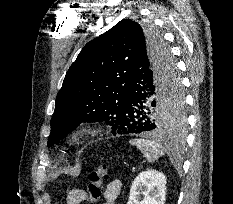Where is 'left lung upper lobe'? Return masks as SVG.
I'll return each mask as SVG.
<instances>
[{
  "mask_svg": "<svg viewBox=\"0 0 233 204\" xmlns=\"http://www.w3.org/2000/svg\"><path fill=\"white\" fill-rule=\"evenodd\" d=\"M140 49L151 55L163 53V70L169 76L175 63L163 38L151 26L124 19L109 31L88 42L66 73L57 94L51 119L50 147L82 122L105 121L112 134H120L118 116L125 96L133 61ZM158 121L161 131L185 124L181 82L168 89L160 102Z\"/></svg>",
  "mask_w": 233,
  "mask_h": 204,
  "instance_id": "1",
  "label": "left lung upper lobe"
}]
</instances>
